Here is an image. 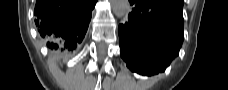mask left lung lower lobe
<instances>
[{
	"label": "left lung lower lobe",
	"instance_id": "obj_1",
	"mask_svg": "<svg viewBox=\"0 0 228 90\" xmlns=\"http://www.w3.org/2000/svg\"><path fill=\"white\" fill-rule=\"evenodd\" d=\"M129 1L134 9L119 25L121 57L133 72H163L184 39L183 0Z\"/></svg>",
	"mask_w": 228,
	"mask_h": 90
}]
</instances>
